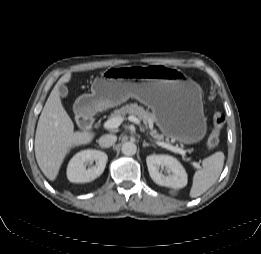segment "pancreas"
<instances>
[{
  "instance_id": "obj_1",
  "label": "pancreas",
  "mask_w": 261,
  "mask_h": 254,
  "mask_svg": "<svg viewBox=\"0 0 261 254\" xmlns=\"http://www.w3.org/2000/svg\"><path fill=\"white\" fill-rule=\"evenodd\" d=\"M127 114L137 116L140 120L144 122L145 125L154 121L153 114L148 110H145L143 107L139 106L137 103H129L122 106L119 109L114 110V112L110 115V117L125 118ZM150 135L158 141H161L163 139V136L157 133L156 130H151Z\"/></svg>"
}]
</instances>
